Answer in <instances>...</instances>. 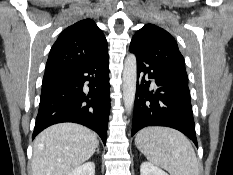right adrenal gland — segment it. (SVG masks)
Wrapping results in <instances>:
<instances>
[{
  "label": "right adrenal gland",
  "mask_w": 233,
  "mask_h": 175,
  "mask_svg": "<svg viewBox=\"0 0 233 175\" xmlns=\"http://www.w3.org/2000/svg\"><path fill=\"white\" fill-rule=\"evenodd\" d=\"M97 154H99V148L97 147Z\"/></svg>",
  "instance_id": "obj_1"
}]
</instances>
